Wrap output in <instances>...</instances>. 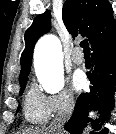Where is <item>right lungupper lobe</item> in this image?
Returning a JSON list of instances; mask_svg holds the SVG:
<instances>
[{"instance_id": "1", "label": "right lung upper lobe", "mask_w": 116, "mask_h": 134, "mask_svg": "<svg viewBox=\"0 0 116 134\" xmlns=\"http://www.w3.org/2000/svg\"><path fill=\"white\" fill-rule=\"evenodd\" d=\"M63 22L73 38L86 36L91 47L116 30L113 9L108 0H66ZM50 12L37 15L25 33V49L21 55L20 85L31 71L33 49L37 40L50 30Z\"/></svg>"}]
</instances>
